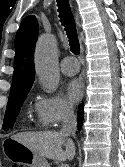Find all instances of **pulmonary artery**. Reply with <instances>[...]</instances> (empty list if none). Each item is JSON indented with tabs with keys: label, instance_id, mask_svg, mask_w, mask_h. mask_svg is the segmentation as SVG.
I'll use <instances>...</instances> for the list:
<instances>
[{
	"label": "pulmonary artery",
	"instance_id": "obj_1",
	"mask_svg": "<svg viewBox=\"0 0 125 167\" xmlns=\"http://www.w3.org/2000/svg\"><path fill=\"white\" fill-rule=\"evenodd\" d=\"M60 69L62 73L72 76L79 72L80 65L78 60L73 56H66L60 62Z\"/></svg>",
	"mask_w": 125,
	"mask_h": 167
}]
</instances>
